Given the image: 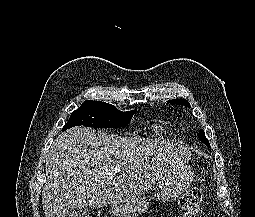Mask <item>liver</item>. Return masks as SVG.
I'll return each instance as SVG.
<instances>
[{
    "label": "liver",
    "instance_id": "6515ba94",
    "mask_svg": "<svg viewBox=\"0 0 255 217\" xmlns=\"http://www.w3.org/2000/svg\"><path fill=\"white\" fill-rule=\"evenodd\" d=\"M190 159L185 144L71 128L50 145L42 190L45 217H65L78 206L101 208L136 199ZM114 165L122 168L115 178L106 174Z\"/></svg>",
    "mask_w": 255,
    "mask_h": 217
}]
</instances>
